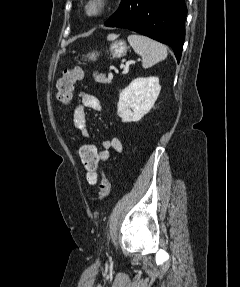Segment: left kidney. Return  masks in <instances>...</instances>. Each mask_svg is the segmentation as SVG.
<instances>
[{"mask_svg":"<svg viewBox=\"0 0 240 287\" xmlns=\"http://www.w3.org/2000/svg\"><path fill=\"white\" fill-rule=\"evenodd\" d=\"M161 86L157 77L134 79L119 96L117 114L122 122H138L154 106Z\"/></svg>","mask_w":240,"mask_h":287,"instance_id":"left-kidney-1","label":"left kidney"}]
</instances>
